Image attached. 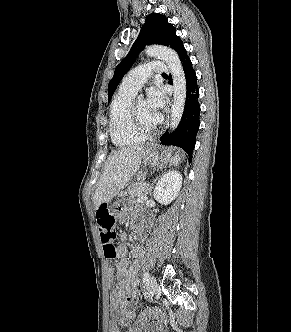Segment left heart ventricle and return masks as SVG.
Instances as JSON below:
<instances>
[{
    "label": "left heart ventricle",
    "instance_id": "b2bd125f",
    "mask_svg": "<svg viewBox=\"0 0 291 332\" xmlns=\"http://www.w3.org/2000/svg\"><path fill=\"white\" fill-rule=\"evenodd\" d=\"M137 109L140 121L144 127L154 128L155 126H157L158 123L155 121L146 100H137Z\"/></svg>",
    "mask_w": 291,
    "mask_h": 332
}]
</instances>
